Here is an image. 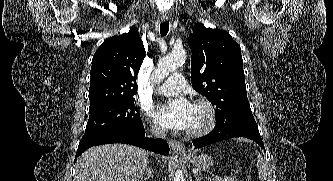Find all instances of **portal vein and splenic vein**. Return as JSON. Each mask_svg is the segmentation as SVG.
<instances>
[{"label":"portal vein and splenic vein","instance_id":"obj_1","mask_svg":"<svg viewBox=\"0 0 333 181\" xmlns=\"http://www.w3.org/2000/svg\"><path fill=\"white\" fill-rule=\"evenodd\" d=\"M212 180H213V181H222V178H221V177H218V176H215V177H213Z\"/></svg>","mask_w":333,"mask_h":181}]
</instances>
